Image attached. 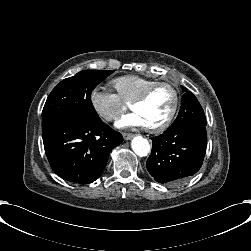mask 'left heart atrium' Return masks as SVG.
I'll list each match as a JSON object with an SVG mask.
<instances>
[{
  "label": "left heart atrium",
  "instance_id": "39dd6f15",
  "mask_svg": "<svg viewBox=\"0 0 251 251\" xmlns=\"http://www.w3.org/2000/svg\"><path fill=\"white\" fill-rule=\"evenodd\" d=\"M144 126H147L146 120L143 114L138 110H133L130 113L124 114L116 121V127L121 129Z\"/></svg>",
  "mask_w": 251,
  "mask_h": 251
}]
</instances>
